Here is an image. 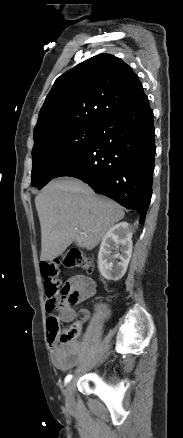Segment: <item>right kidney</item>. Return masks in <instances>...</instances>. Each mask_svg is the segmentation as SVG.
I'll list each match as a JSON object with an SVG mask.
<instances>
[{
    "instance_id": "obj_1",
    "label": "right kidney",
    "mask_w": 183,
    "mask_h": 438,
    "mask_svg": "<svg viewBox=\"0 0 183 438\" xmlns=\"http://www.w3.org/2000/svg\"><path fill=\"white\" fill-rule=\"evenodd\" d=\"M133 231L132 225L120 222L111 227L102 238L98 253V268L105 279L117 281L125 274L132 255ZM112 250H116L117 253L112 254ZM119 250L121 253L118 252Z\"/></svg>"
}]
</instances>
